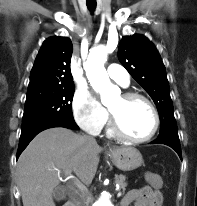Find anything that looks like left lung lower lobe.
<instances>
[{
    "instance_id": "0a47b994",
    "label": "left lung lower lobe",
    "mask_w": 197,
    "mask_h": 206,
    "mask_svg": "<svg viewBox=\"0 0 197 206\" xmlns=\"http://www.w3.org/2000/svg\"><path fill=\"white\" fill-rule=\"evenodd\" d=\"M157 143L158 144H165V145L171 147L172 149H174L177 152L179 157L182 159L179 137L178 138L177 137H158L156 140L151 142V144H157Z\"/></svg>"
}]
</instances>
